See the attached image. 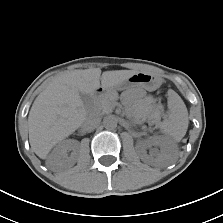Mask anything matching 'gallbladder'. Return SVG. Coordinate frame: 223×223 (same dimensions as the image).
Instances as JSON below:
<instances>
[{
  "label": "gallbladder",
  "instance_id": "gallbladder-1",
  "mask_svg": "<svg viewBox=\"0 0 223 223\" xmlns=\"http://www.w3.org/2000/svg\"><path fill=\"white\" fill-rule=\"evenodd\" d=\"M80 97L85 104L90 100V96L88 94L80 93Z\"/></svg>",
  "mask_w": 223,
  "mask_h": 223
}]
</instances>
